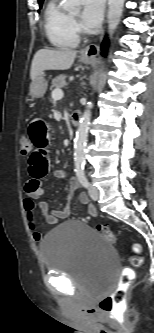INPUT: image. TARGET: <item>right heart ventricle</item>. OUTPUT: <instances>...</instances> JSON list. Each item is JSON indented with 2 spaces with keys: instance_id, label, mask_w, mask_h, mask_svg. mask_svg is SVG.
Segmentation results:
<instances>
[{
  "instance_id": "1",
  "label": "right heart ventricle",
  "mask_w": 154,
  "mask_h": 333,
  "mask_svg": "<svg viewBox=\"0 0 154 333\" xmlns=\"http://www.w3.org/2000/svg\"><path fill=\"white\" fill-rule=\"evenodd\" d=\"M44 29L49 42L56 48H74L79 36L70 15L61 6V0H50L44 12Z\"/></svg>"
}]
</instances>
